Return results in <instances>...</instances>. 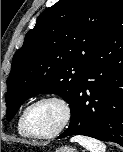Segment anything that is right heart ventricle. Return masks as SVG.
<instances>
[{
    "mask_svg": "<svg viewBox=\"0 0 123 152\" xmlns=\"http://www.w3.org/2000/svg\"><path fill=\"white\" fill-rule=\"evenodd\" d=\"M22 115H23V112L19 115V118H18V121H17V131L22 137L27 138V137H30V136L26 133V131L23 128Z\"/></svg>",
    "mask_w": 123,
    "mask_h": 152,
    "instance_id": "obj_1",
    "label": "right heart ventricle"
}]
</instances>
